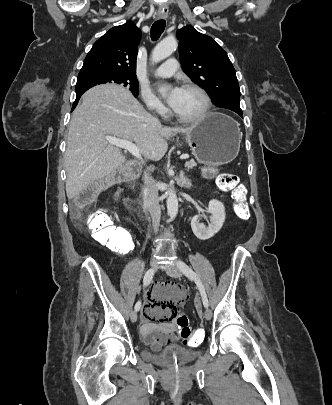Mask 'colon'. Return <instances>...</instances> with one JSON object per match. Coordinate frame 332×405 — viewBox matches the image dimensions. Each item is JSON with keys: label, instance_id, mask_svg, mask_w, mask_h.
Wrapping results in <instances>:
<instances>
[{"label": "colon", "instance_id": "5ec220e1", "mask_svg": "<svg viewBox=\"0 0 332 405\" xmlns=\"http://www.w3.org/2000/svg\"><path fill=\"white\" fill-rule=\"evenodd\" d=\"M107 183L100 182L89 187L79 197L75 199V205L84 207L91 202L100 191L106 187ZM219 187L231 193L234 199V211L238 218L247 220L249 218V209L246 200V190L240 184L238 176L231 173H224L218 178ZM76 221H82L86 227L92 232L95 240L108 244L111 251H115L117 255L132 256L134 244V233L132 231H118L111 217L103 211H94L86 216L80 214L75 216ZM166 288H181L177 285L169 284ZM178 313H169L167 320L173 323L174 332L181 343L187 346L188 351H199L200 343L203 341L204 334L208 333L207 325H193L192 310L172 311Z\"/></svg>", "mask_w": 332, "mask_h": 405}]
</instances>
